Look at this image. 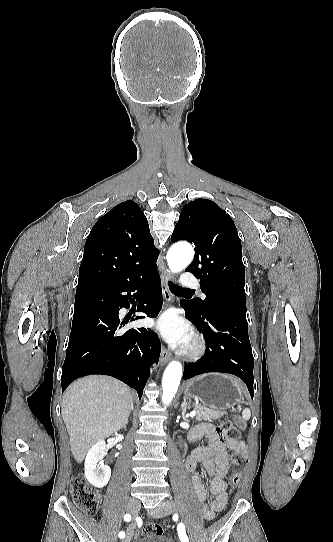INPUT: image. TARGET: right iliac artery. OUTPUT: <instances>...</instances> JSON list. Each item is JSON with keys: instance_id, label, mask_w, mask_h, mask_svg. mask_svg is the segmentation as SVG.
Wrapping results in <instances>:
<instances>
[{"instance_id": "obj_1", "label": "right iliac artery", "mask_w": 333, "mask_h": 542, "mask_svg": "<svg viewBox=\"0 0 333 542\" xmlns=\"http://www.w3.org/2000/svg\"><path fill=\"white\" fill-rule=\"evenodd\" d=\"M124 520L129 522L131 520V516L129 514H125L124 516ZM120 538H124L125 537V533L124 532H120L119 535H118Z\"/></svg>"}]
</instances>
